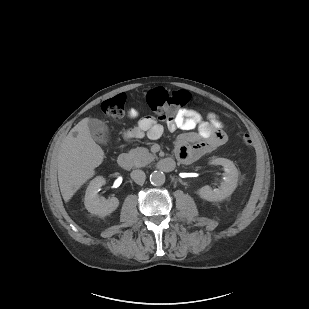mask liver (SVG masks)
Instances as JSON below:
<instances>
[{
	"mask_svg": "<svg viewBox=\"0 0 309 309\" xmlns=\"http://www.w3.org/2000/svg\"><path fill=\"white\" fill-rule=\"evenodd\" d=\"M88 121L84 118L68 133L57 155L59 187L65 202L94 176L95 168L104 159V151L93 140Z\"/></svg>",
	"mask_w": 309,
	"mask_h": 309,
	"instance_id": "liver-1",
	"label": "liver"
}]
</instances>
